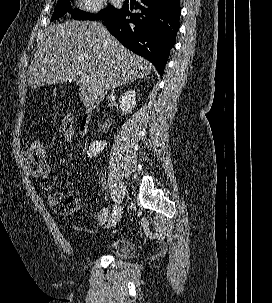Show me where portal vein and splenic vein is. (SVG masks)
Wrapping results in <instances>:
<instances>
[{
    "instance_id": "obj_1",
    "label": "portal vein and splenic vein",
    "mask_w": 272,
    "mask_h": 303,
    "mask_svg": "<svg viewBox=\"0 0 272 303\" xmlns=\"http://www.w3.org/2000/svg\"><path fill=\"white\" fill-rule=\"evenodd\" d=\"M87 81H89V78L86 75H81L80 76V82L84 83V82H87Z\"/></svg>"
}]
</instances>
